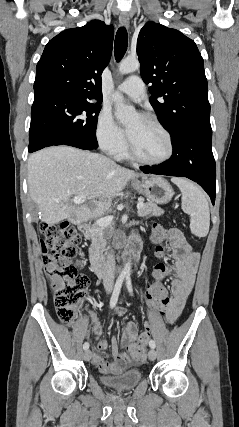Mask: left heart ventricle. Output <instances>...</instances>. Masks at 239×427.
<instances>
[{
  "instance_id": "obj_1",
  "label": "left heart ventricle",
  "mask_w": 239,
  "mask_h": 427,
  "mask_svg": "<svg viewBox=\"0 0 239 427\" xmlns=\"http://www.w3.org/2000/svg\"><path fill=\"white\" fill-rule=\"evenodd\" d=\"M128 137L134 150L147 160H159L168 152L165 135L154 125L139 116L127 125Z\"/></svg>"
}]
</instances>
